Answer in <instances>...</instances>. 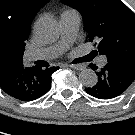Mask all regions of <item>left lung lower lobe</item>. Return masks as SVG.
Instances as JSON below:
<instances>
[{
  "mask_svg": "<svg viewBox=\"0 0 135 135\" xmlns=\"http://www.w3.org/2000/svg\"><path fill=\"white\" fill-rule=\"evenodd\" d=\"M89 66L96 71L98 82L85 91L99 99H112L121 95L135 80V71L114 63H107L100 70L94 64Z\"/></svg>",
  "mask_w": 135,
  "mask_h": 135,
  "instance_id": "left-lung-lower-lobe-1",
  "label": "left lung lower lobe"
}]
</instances>
